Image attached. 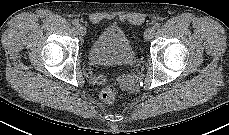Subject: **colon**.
I'll use <instances>...</instances> for the list:
<instances>
[{
  "mask_svg": "<svg viewBox=\"0 0 229 135\" xmlns=\"http://www.w3.org/2000/svg\"><path fill=\"white\" fill-rule=\"evenodd\" d=\"M117 91L114 87L108 86L101 90L100 99L106 104H111L116 98Z\"/></svg>",
  "mask_w": 229,
  "mask_h": 135,
  "instance_id": "5ec220e1",
  "label": "colon"
}]
</instances>
